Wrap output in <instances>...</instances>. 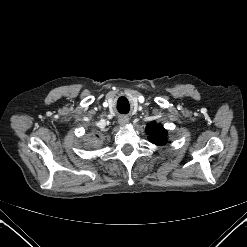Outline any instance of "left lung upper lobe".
Returning <instances> with one entry per match:
<instances>
[{"label": "left lung upper lobe", "instance_id": "obj_1", "mask_svg": "<svg viewBox=\"0 0 247 247\" xmlns=\"http://www.w3.org/2000/svg\"><path fill=\"white\" fill-rule=\"evenodd\" d=\"M148 139L150 142L163 146L167 143V130L163 128L161 124H157L156 122H152L148 124L146 128Z\"/></svg>", "mask_w": 247, "mask_h": 247}]
</instances>
